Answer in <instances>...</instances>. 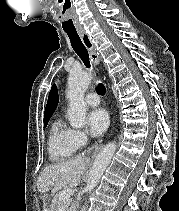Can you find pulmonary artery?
<instances>
[{"instance_id": "pulmonary-artery-1", "label": "pulmonary artery", "mask_w": 179, "mask_h": 211, "mask_svg": "<svg viewBox=\"0 0 179 211\" xmlns=\"http://www.w3.org/2000/svg\"><path fill=\"white\" fill-rule=\"evenodd\" d=\"M85 102L87 105L95 107L98 106L100 103L99 96L96 93H88L85 96Z\"/></svg>"}]
</instances>
